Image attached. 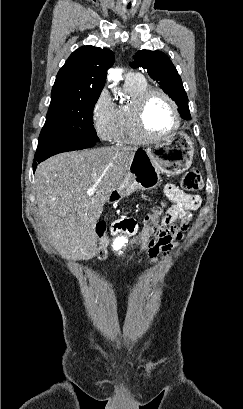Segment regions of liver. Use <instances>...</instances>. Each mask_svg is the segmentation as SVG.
<instances>
[{"label":"liver","mask_w":243,"mask_h":409,"mask_svg":"<svg viewBox=\"0 0 243 409\" xmlns=\"http://www.w3.org/2000/svg\"><path fill=\"white\" fill-rule=\"evenodd\" d=\"M137 150L113 146L61 153L37 167L39 218L61 256L78 260L94 248L104 204L122 184ZM93 186L96 191L88 196Z\"/></svg>","instance_id":"1"}]
</instances>
